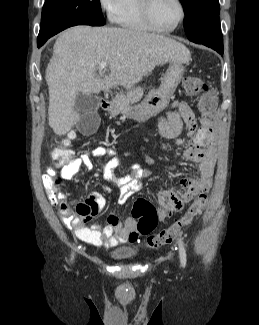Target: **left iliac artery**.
<instances>
[{"mask_svg":"<svg viewBox=\"0 0 259 325\" xmlns=\"http://www.w3.org/2000/svg\"><path fill=\"white\" fill-rule=\"evenodd\" d=\"M178 246H179V256H180L181 265H182V267H185L186 266V251H185L183 242L179 241Z\"/></svg>","mask_w":259,"mask_h":325,"instance_id":"obj_1","label":"left iliac artery"}]
</instances>
